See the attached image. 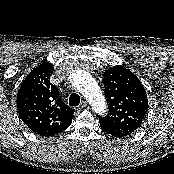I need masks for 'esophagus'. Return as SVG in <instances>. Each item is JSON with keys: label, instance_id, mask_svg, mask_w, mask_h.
Wrapping results in <instances>:
<instances>
[{"label": "esophagus", "instance_id": "obj_1", "mask_svg": "<svg viewBox=\"0 0 174 174\" xmlns=\"http://www.w3.org/2000/svg\"><path fill=\"white\" fill-rule=\"evenodd\" d=\"M87 106V102L86 101H82L81 104L79 105V109H83Z\"/></svg>", "mask_w": 174, "mask_h": 174}]
</instances>
